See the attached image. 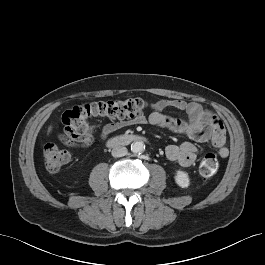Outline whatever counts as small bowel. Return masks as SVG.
Wrapping results in <instances>:
<instances>
[{
  "instance_id": "c3829d8e",
  "label": "small bowel",
  "mask_w": 265,
  "mask_h": 265,
  "mask_svg": "<svg viewBox=\"0 0 265 265\" xmlns=\"http://www.w3.org/2000/svg\"><path fill=\"white\" fill-rule=\"evenodd\" d=\"M152 111L148 117L141 116L132 121H116L103 126L101 137L107 138L113 132L120 130L130 123L145 124L167 128L174 132L183 133L195 142L211 141L220 157H227L228 149L224 145V128L213 113L204 109L199 103L188 102L181 99H160L151 106ZM168 108L177 109L186 113L187 118H179L164 113ZM92 139H88L82 145L69 144L72 146L89 145ZM166 157L170 161L179 163L181 166H191L197 157L198 148L192 142H184L180 145L171 144L166 147Z\"/></svg>"
}]
</instances>
